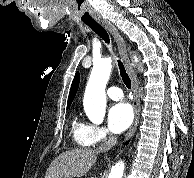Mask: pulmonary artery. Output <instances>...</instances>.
Masks as SVG:
<instances>
[{"label": "pulmonary artery", "mask_w": 194, "mask_h": 178, "mask_svg": "<svg viewBox=\"0 0 194 178\" xmlns=\"http://www.w3.org/2000/svg\"><path fill=\"white\" fill-rule=\"evenodd\" d=\"M107 95L112 100H121L123 98V91L116 86H112L107 90Z\"/></svg>", "instance_id": "pulmonary-artery-1"}]
</instances>
